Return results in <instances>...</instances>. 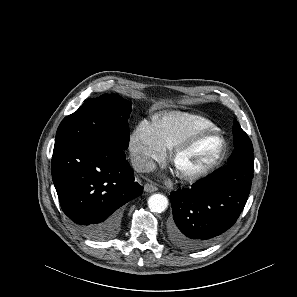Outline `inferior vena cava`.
Instances as JSON below:
<instances>
[{
  "mask_svg": "<svg viewBox=\"0 0 297 297\" xmlns=\"http://www.w3.org/2000/svg\"><path fill=\"white\" fill-rule=\"evenodd\" d=\"M131 164L137 172H150L155 168L153 161L145 157L134 156L131 158Z\"/></svg>",
  "mask_w": 297,
  "mask_h": 297,
  "instance_id": "602c4592",
  "label": "inferior vena cava"
}]
</instances>
